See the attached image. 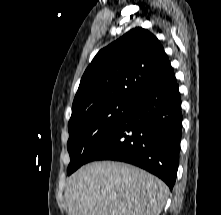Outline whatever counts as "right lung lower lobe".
<instances>
[{"label": "right lung lower lobe", "mask_w": 221, "mask_h": 215, "mask_svg": "<svg viewBox=\"0 0 221 215\" xmlns=\"http://www.w3.org/2000/svg\"><path fill=\"white\" fill-rule=\"evenodd\" d=\"M182 119L179 87L174 77L137 98L86 163L127 162L158 176L172 190L179 164Z\"/></svg>", "instance_id": "1"}]
</instances>
